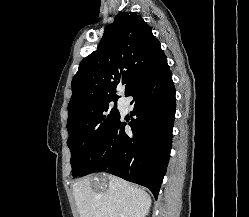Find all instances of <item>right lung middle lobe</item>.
<instances>
[{
	"label": "right lung middle lobe",
	"instance_id": "dd1d6c3e",
	"mask_svg": "<svg viewBox=\"0 0 249 217\" xmlns=\"http://www.w3.org/2000/svg\"><path fill=\"white\" fill-rule=\"evenodd\" d=\"M117 99L95 102L68 117L67 145L71 150L73 177L82 173L91 156L120 117L116 108ZM111 101L115 102L113 108L109 105Z\"/></svg>",
	"mask_w": 249,
	"mask_h": 217
}]
</instances>
